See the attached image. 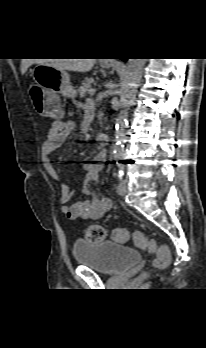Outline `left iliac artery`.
Returning <instances> with one entry per match:
<instances>
[{
  "mask_svg": "<svg viewBox=\"0 0 206 348\" xmlns=\"http://www.w3.org/2000/svg\"><path fill=\"white\" fill-rule=\"evenodd\" d=\"M124 173L122 170H119V173H118V178L121 180L122 177H123Z\"/></svg>",
  "mask_w": 206,
  "mask_h": 348,
  "instance_id": "1",
  "label": "left iliac artery"
}]
</instances>
